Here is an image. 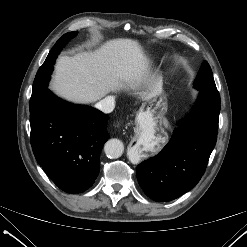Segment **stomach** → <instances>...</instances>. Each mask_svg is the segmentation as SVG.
<instances>
[{
  "label": "stomach",
  "instance_id": "obj_1",
  "mask_svg": "<svg viewBox=\"0 0 247 247\" xmlns=\"http://www.w3.org/2000/svg\"><path fill=\"white\" fill-rule=\"evenodd\" d=\"M167 107V95L164 92L157 94L147 100L140 108L136 119L137 125L141 127L143 125L150 126L154 123H162L165 119Z\"/></svg>",
  "mask_w": 247,
  "mask_h": 247
}]
</instances>
